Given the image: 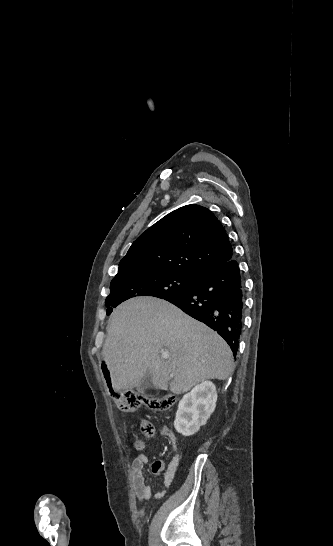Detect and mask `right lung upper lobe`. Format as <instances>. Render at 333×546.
Here are the masks:
<instances>
[{
    "instance_id": "right-lung-upper-lobe-1",
    "label": "right lung upper lobe",
    "mask_w": 333,
    "mask_h": 546,
    "mask_svg": "<svg viewBox=\"0 0 333 546\" xmlns=\"http://www.w3.org/2000/svg\"><path fill=\"white\" fill-rule=\"evenodd\" d=\"M233 256L228 235L217 217L205 207L186 205L134 241L119 269L200 277Z\"/></svg>"
}]
</instances>
